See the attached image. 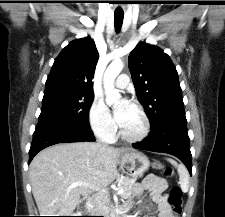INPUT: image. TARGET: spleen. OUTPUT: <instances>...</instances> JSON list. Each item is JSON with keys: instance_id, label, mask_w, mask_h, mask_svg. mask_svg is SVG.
<instances>
[{"instance_id": "3e777b00", "label": "spleen", "mask_w": 225, "mask_h": 217, "mask_svg": "<svg viewBox=\"0 0 225 217\" xmlns=\"http://www.w3.org/2000/svg\"><path fill=\"white\" fill-rule=\"evenodd\" d=\"M168 161L177 168V172L179 174V183L183 192H187L189 189V173L184 165L178 164L176 161L172 159H168Z\"/></svg>"}]
</instances>
